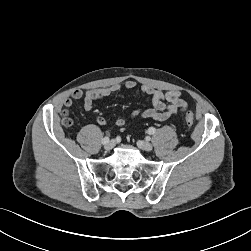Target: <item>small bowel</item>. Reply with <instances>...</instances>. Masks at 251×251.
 I'll list each match as a JSON object with an SVG mask.
<instances>
[{
	"mask_svg": "<svg viewBox=\"0 0 251 251\" xmlns=\"http://www.w3.org/2000/svg\"><path fill=\"white\" fill-rule=\"evenodd\" d=\"M123 89L133 91L135 93L142 92L151 97L152 107L147 109H136L130 113L131 117H139L142 119H151L155 121H167L174 118L178 114L184 112L187 108V102L182 98L181 92L169 91L162 92L150 85L138 86L134 80H128L123 85L114 84L109 87L95 88L83 92L75 90L70 98L64 101L65 108H70L73 99L83 98V107L86 111H91L94 103L102 100L113 94H119ZM96 121L99 125H106L107 119L102 115L96 116ZM116 125L122 127L125 125V120L119 118L116 120Z\"/></svg>",
	"mask_w": 251,
	"mask_h": 251,
	"instance_id": "obj_1",
	"label": "small bowel"
}]
</instances>
